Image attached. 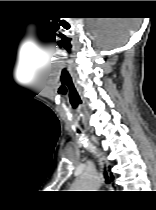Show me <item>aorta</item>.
<instances>
[{
  "label": "aorta",
  "mask_w": 156,
  "mask_h": 210,
  "mask_svg": "<svg viewBox=\"0 0 156 210\" xmlns=\"http://www.w3.org/2000/svg\"><path fill=\"white\" fill-rule=\"evenodd\" d=\"M101 178L98 172L94 170H87L78 177L73 185L77 191H92L100 186Z\"/></svg>",
  "instance_id": "1"
}]
</instances>
